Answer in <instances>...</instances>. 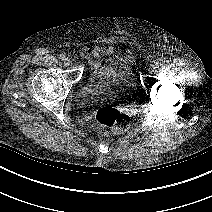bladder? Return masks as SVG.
<instances>
[{
  "label": "bladder",
  "instance_id": "31cf9c89",
  "mask_svg": "<svg viewBox=\"0 0 212 212\" xmlns=\"http://www.w3.org/2000/svg\"><path fill=\"white\" fill-rule=\"evenodd\" d=\"M135 93L131 64L121 58H111L90 71L77 93L76 102L81 107L122 103L133 99Z\"/></svg>",
  "mask_w": 212,
  "mask_h": 212
}]
</instances>
